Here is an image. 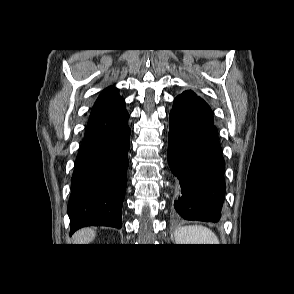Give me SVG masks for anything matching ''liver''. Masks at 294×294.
Listing matches in <instances>:
<instances>
[{
	"label": "liver",
	"mask_w": 294,
	"mask_h": 294,
	"mask_svg": "<svg viewBox=\"0 0 294 294\" xmlns=\"http://www.w3.org/2000/svg\"><path fill=\"white\" fill-rule=\"evenodd\" d=\"M96 232L92 228H83L73 235L75 244H88L94 240Z\"/></svg>",
	"instance_id": "liver-1"
}]
</instances>
